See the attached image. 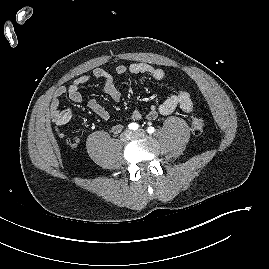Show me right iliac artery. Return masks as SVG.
<instances>
[{
	"instance_id": "1",
	"label": "right iliac artery",
	"mask_w": 269,
	"mask_h": 269,
	"mask_svg": "<svg viewBox=\"0 0 269 269\" xmlns=\"http://www.w3.org/2000/svg\"><path fill=\"white\" fill-rule=\"evenodd\" d=\"M128 128L131 130H137L139 128V125L137 123H130L128 125Z\"/></svg>"
}]
</instances>
